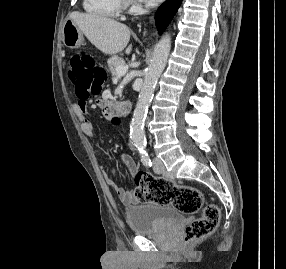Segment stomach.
I'll return each mask as SVG.
<instances>
[{"label":"stomach","instance_id":"stomach-1","mask_svg":"<svg viewBox=\"0 0 286 269\" xmlns=\"http://www.w3.org/2000/svg\"><path fill=\"white\" fill-rule=\"evenodd\" d=\"M62 41L69 48H79L84 41L83 32L72 20L66 21L63 26Z\"/></svg>","mask_w":286,"mask_h":269}]
</instances>
